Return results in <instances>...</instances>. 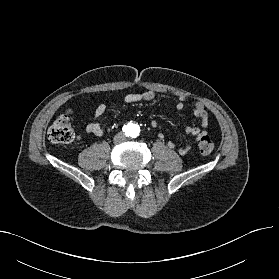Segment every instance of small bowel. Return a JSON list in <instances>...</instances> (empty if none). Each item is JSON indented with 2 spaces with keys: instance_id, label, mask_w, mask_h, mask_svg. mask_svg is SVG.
Returning a JSON list of instances; mask_svg holds the SVG:
<instances>
[{
  "instance_id": "c3829d8e",
  "label": "small bowel",
  "mask_w": 279,
  "mask_h": 279,
  "mask_svg": "<svg viewBox=\"0 0 279 279\" xmlns=\"http://www.w3.org/2000/svg\"><path fill=\"white\" fill-rule=\"evenodd\" d=\"M155 98V93L152 91H145L142 93H128L124 96V102L127 104L132 103H138L142 101H152ZM186 101L185 96H180L178 102L175 105V110L180 111L184 107V103ZM106 110V106L104 104H100L94 112L95 119L94 121L90 122L86 126V131L94 135L96 137H102L104 132L100 125V123L97 121L98 118H100ZM193 114L195 117L200 121V127H193L189 126L186 128V134L190 137H194L196 140H199L202 136L207 134V127L209 123V115L206 111L205 107L202 103L196 102L193 107ZM156 123L152 122V126H155ZM168 146L171 148H177V151L180 154H185L190 150V146H180L176 147L175 143L169 142Z\"/></svg>"
}]
</instances>
